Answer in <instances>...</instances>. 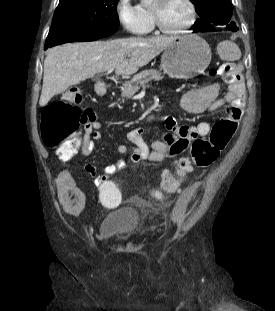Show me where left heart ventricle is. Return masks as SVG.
Instances as JSON below:
<instances>
[{"instance_id": "left-heart-ventricle-1", "label": "left heart ventricle", "mask_w": 275, "mask_h": 311, "mask_svg": "<svg viewBox=\"0 0 275 311\" xmlns=\"http://www.w3.org/2000/svg\"><path fill=\"white\" fill-rule=\"evenodd\" d=\"M153 7L159 11L162 23L168 29H178L190 19V10L184 0H156Z\"/></svg>"}]
</instances>
